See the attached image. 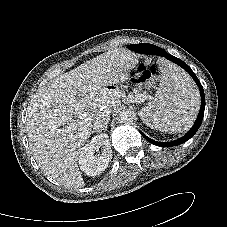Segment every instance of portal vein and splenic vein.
Returning a JSON list of instances; mask_svg holds the SVG:
<instances>
[{"label":"portal vein and splenic vein","mask_w":227,"mask_h":227,"mask_svg":"<svg viewBox=\"0 0 227 227\" xmlns=\"http://www.w3.org/2000/svg\"><path fill=\"white\" fill-rule=\"evenodd\" d=\"M135 97H136V100H137V99L141 98V95H137V96H135ZM142 97L144 98V96H142ZM75 111H76V113L79 115L80 118L86 116V112L83 111V110H81V109H79L78 107L75 108Z\"/></svg>","instance_id":"1"}]
</instances>
